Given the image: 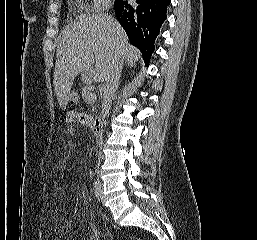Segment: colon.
Listing matches in <instances>:
<instances>
[{
    "instance_id": "5ec220e1",
    "label": "colon",
    "mask_w": 257,
    "mask_h": 240,
    "mask_svg": "<svg viewBox=\"0 0 257 240\" xmlns=\"http://www.w3.org/2000/svg\"><path fill=\"white\" fill-rule=\"evenodd\" d=\"M70 100L72 103H77L79 100V94L76 91H72L70 94Z\"/></svg>"
}]
</instances>
